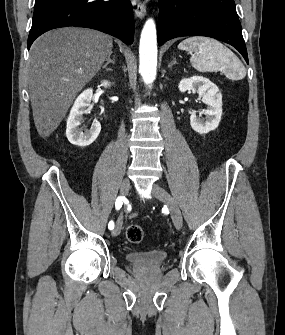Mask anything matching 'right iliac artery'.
Instances as JSON below:
<instances>
[{
    "instance_id": "1",
    "label": "right iliac artery",
    "mask_w": 285,
    "mask_h": 335,
    "mask_svg": "<svg viewBox=\"0 0 285 335\" xmlns=\"http://www.w3.org/2000/svg\"><path fill=\"white\" fill-rule=\"evenodd\" d=\"M123 204V197H118L115 202V207L117 210H119L122 207ZM108 228L112 230L114 228V222L110 221L108 224Z\"/></svg>"
}]
</instances>
